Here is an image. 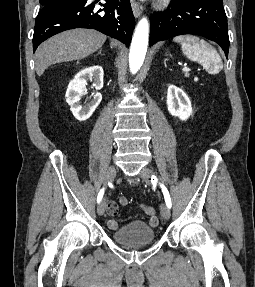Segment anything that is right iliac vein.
I'll use <instances>...</instances> for the list:
<instances>
[{
	"label": "right iliac vein",
	"mask_w": 255,
	"mask_h": 287,
	"mask_svg": "<svg viewBox=\"0 0 255 287\" xmlns=\"http://www.w3.org/2000/svg\"><path fill=\"white\" fill-rule=\"evenodd\" d=\"M115 176H116V168L114 166H110L107 173H106L105 183L107 184V183L113 181ZM105 210H106V198H103L97 207V213L100 216H102L104 214Z\"/></svg>",
	"instance_id": "63e3f726"
}]
</instances>
